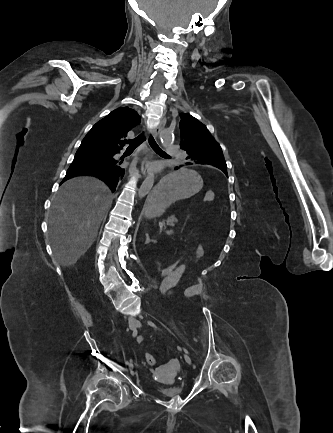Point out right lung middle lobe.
I'll return each instance as SVG.
<instances>
[{"label": "right lung middle lobe", "mask_w": 333, "mask_h": 433, "mask_svg": "<svg viewBox=\"0 0 333 433\" xmlns=\"http://www.w3.org/2000/svg\"><path fill=\"white\" fill-rule=\"evenodd\" d=\"M110 154L111 153H106L104 151L97 150L93 147H85V146H80L78 151L76 152V155H89V156H97V157L108 156Z\"/></svg>", "instance_id": "1"}]
</instances>
